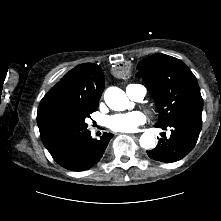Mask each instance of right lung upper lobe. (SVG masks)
Wrapping results in <instances>:
<instances>
[{
    "label": "right lung upper lobe",
    "instance_id": "right-lung-upper-lobe-1",
    "mask_svg": "<svg viewBox=\"0 0 221 221\" xmlns=\"http://www.w3.org/2000/svg\"><path fill=\"white\" fill-rule=\"evenodd\" d=\"M105 78L100 67L84 63L70 70L41 100L37 116L58 105L79 108L98 107Z\"/></svg>",
    "mask_w": 221,
    "mask_h": 221
}]
</instances>
